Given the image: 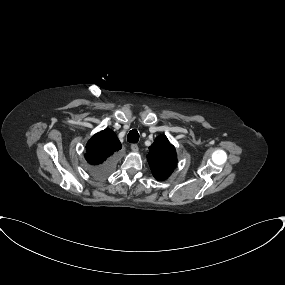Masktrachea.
<instances>
[{
	"instance_id": "3493384b",
	"label": "trachea",
	"mask_w": 285,
	"mask_h": 285,
	"mask_svg": "<svg viewBox=\"0 0 285 285\" xmlns=\"http://www.w3.org/2000/svg\"><path fill=\"white\" fill-rule=\"evenodd\" d=\"M127 141L130 143H137L139 141V133L136 129H133L128 133Z\"/></svg>"
}]
</instances>
